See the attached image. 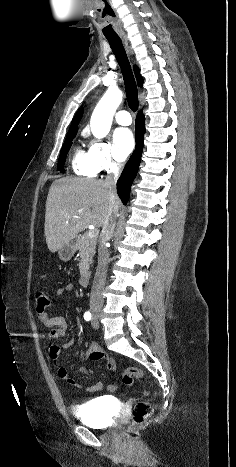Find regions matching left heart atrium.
<instances>
[{
    "instance_id": "39dd6f15",
    "label": "left heart atrium",
    "mask_w": 236,
    "mask_h": 467,
    "mask_svg": "<svg viewBox=\"0 0 236 467\" xmlns=\"http://www.w3.org/2000/svg\"><path fill=\"white\" fill-rule=\"evenodd\" d=\"M113 142L116 156L123 160L134 147V138L130 129L118 128L114 131Z\"/></svg>"
}]
</instances>
